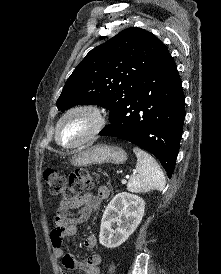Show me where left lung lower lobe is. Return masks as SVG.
<instances>
[{
	"label": "left lung lower lobe",
	"mask_w": 221,
	"mask_h": 274,
	"mask_svg": "<svg viewBox=\"0 0 221 274\" xmlns=\"http://www.w3.org/2000/svg\"><path fill=\"white\" fill-rule=\"evenodd\" d=\"M184 101L181 79L168 53L143 79L138 93L110 115V124L99 134L152 153L171 178L183 133Z\"/></svg>",
	"instance_id": "obj_1"
}]
</instances>
